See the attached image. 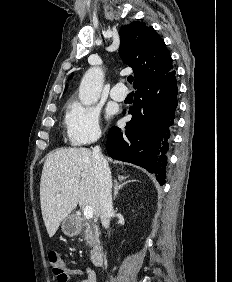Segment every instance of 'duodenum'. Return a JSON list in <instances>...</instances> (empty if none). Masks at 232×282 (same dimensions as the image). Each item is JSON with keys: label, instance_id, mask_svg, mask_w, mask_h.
Returning a JSON list of instances; mask_svg holds the SVG:
<instances>
[{"label": "duodenum", "instance_id": "1", "mask_svg": "<svg viewBox=\"0 0 232 282\" xmlns=\"http://www.w3.org/2000/svg\"><path fill=\"white\" fill-rule=\"evenodd\" d=\"M91 261L95 266H102L104 262V252L100 245L93 247L91 251Z\"/></svg>", "mask_w": 232, "mask_h": 282}]
</instances>
